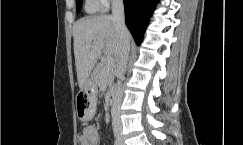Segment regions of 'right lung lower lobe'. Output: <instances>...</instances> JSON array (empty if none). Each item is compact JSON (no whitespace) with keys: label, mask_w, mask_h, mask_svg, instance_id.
Returning a JSON list of instances; mask_svg holds the SVG:
<instances>
[{"label":"right lung lower lobe","mask_w":243,"mask_h":145,"mask_svg":"<svg viewBox=\"0 0 243 145\" xmlns=\"http://www.w3.org/2000/svg\"><path fill=\"white\" fill-rule=\"evenodd\" d=\"M125 22L137 45H140L158 0H123Z\"/></svg>","instance_id":"1"}]
</instances>
